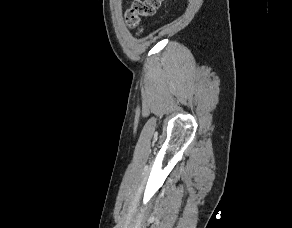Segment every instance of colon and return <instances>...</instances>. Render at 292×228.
<instances>
[{
	"label": "colon",
	"mask_w": 292,
	"mask_h": 228,
	"mask_svg": "<svg viewBox=\"0 0 292 228\" xmlns=\"http://www.w3.org/2000/svg\"><path fill=\"white\" fill-rule=\"evenodd\" d=\"M161 3L162 0H134L125 13V22L127 26L141 32V18L153 16Z\"/></svg>",
	"instance_id": "1"
}]
</instances>
